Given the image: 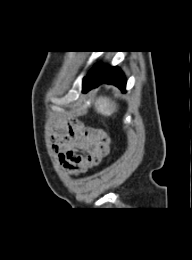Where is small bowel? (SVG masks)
Here are the masks:
<instances>
[{
  "instance_id": "c3829d8e",
  "label": "small bowel",
  "mask_w": 192,
  "mask_h": 260,
  "mask_svg": "<svg viewBox=\"0 0 192 260\" xmlns=\"http://www.w3.org/2000/svg\"><path fill=\"white\" fill-rule=\"evenodd\" d=\"M53 151L64 170L78 176L96 167L107 155L108 137L102 129L69 119L57 126Z\"/></svg>"
}]
</instances>
